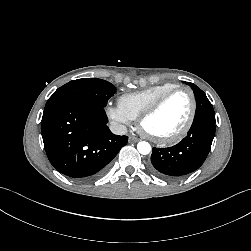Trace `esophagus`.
<instances>
[{
  "label": "esophagus",
  "mask_w": 251,
  "mask_h": 251,
  "mask_svg": "<svg viewBox=\"0 0 251 251\" xmlns=\"http://www.w3.org/2000/svg\"><path fill=\"white\" fill-rule=\"evenodd\" d=\"M140 139L135 136H129V142H138Z\"/></svg>",
  "instance_id": "esophagus-1"
}]
</instances>
